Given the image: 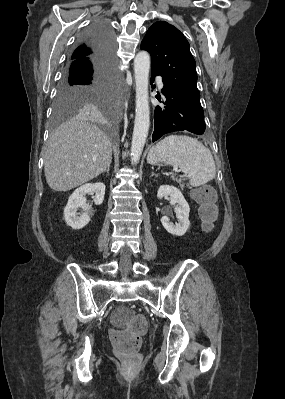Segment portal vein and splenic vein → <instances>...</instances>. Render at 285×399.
I'll return each mask as SVG.
<instances>
[{"label":"portal vein and splenic vein","instance_id":"18ae733b","mask_svg":"<svg viewBox=\"0 0 285 399\" xmlns=\"http://www.w3.org/2000/svg\"><path fill=\"white\" fill-rule=\"evenodd\" d=\"M176 172H178V170H175ZM184 177H188V176H184Z\"/></svg>","mask_w":285,"mask_h":399}]
</instances>
